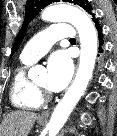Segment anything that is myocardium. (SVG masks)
<instances>
[{
  "instance_id": "myocardium-1",
  "label": "myocardium",
  "mask_w": 117,
  "mask_h": 136,
  "mask_svg": "<svg viewBox=\"0 0 117 136\" xmlns=\"http://www.w3.org/2000/svg\"><path fill=\"white\" fill-rule=\"evenodd\" d=\"M35 85H36V87H37L39 93H40L42 96H44V97H49V93H48V91L46 90L45 86H41V85H39V84H37V83H36Z\"/></svg>"
}]
</instances>
